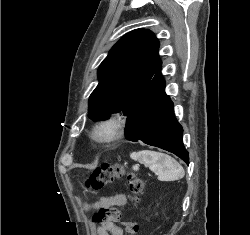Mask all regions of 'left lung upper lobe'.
<instances>
[{
	"label": "left lung upper lobe",
	"instance_id": "1",
	"mask_svg": "<svg viewBox=\"0 0 250 235\" xmlns=\"http://www.w3.org/2000/svg\"><path fill=\"white\" fill-rule=\"evenodd\" d=\"M159 42L154 34L136 29L121 38L98 69L99 84L90 95L89 117L107 119L122 111L129 116L134 104L160 70Z\"/></svg>",
	"mask_w": 250,
	"mask_h": 235
}]
</instances>
